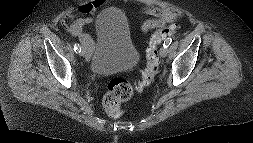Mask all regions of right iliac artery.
Here are the masks:
<instances>
[{
  "label": "right iliac artery",
  "mask_w": 253,
  "mask_h": 143,
  "mask_svg": "<svg viewBox=\"0 0 253 143\" xmlns=\"http://www.w3.org/2000/svg\"><path fill=\"white\" fill-rule=\"evenodd\" d=\"M74 51H75L76 53H80V52H81V47H80L79 44H77V43L74 44Z\"/></svg>",
  "instance_id": "obj_1"
}]
</instances>
